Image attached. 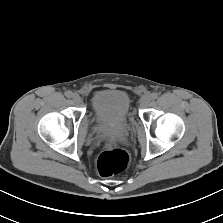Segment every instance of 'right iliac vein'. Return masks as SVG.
<instances>
[{
	"label": "right iliac vein",
	"mask_w": 223,
	"mask_h": 223,
	"mask_svg": "<svg viewBox=\"0 0 223 223\" xmlns=\"http://www.w3.org/2000/svg\"><path fill=\"white\" fill-rule=\"evenodd\" d=\"M72 99H73V101H74L75 103H80V102H81V97H80V95L77 94V93H74V94L72 95Z\"/></svg>",
	"instance_id": "right-iliac-vein-1"
}]
</instances>
